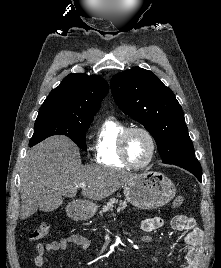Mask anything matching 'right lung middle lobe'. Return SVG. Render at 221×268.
<instances>
[{"instance_id": "obj_1", "label": "right lung middle lobe", "mask_w": 221, "mask_h": 268, "mask_svg": "<svg viewBox=\"0 0 221 268\" xmlns=\"http://www.w3.org/2000/svg\"><path fill=\"white\" fill-rule=\"evenodd\" d=\"M92 121L93 118H83L64 112H39L29 146L32 147L47 137L59 134L68 136L86 151L85 134Z\"/></svg>"}]
</instances>
